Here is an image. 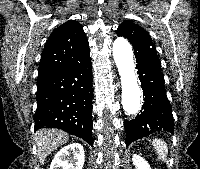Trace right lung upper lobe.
Segmentation results:
<instances>
[{
  "mask_svg": "<svg viewBox=\"0 0 200 169\" xmlns=\"http://www.w3.org/2000/svg\"><path fill=\"white\" fill-rule=\"evenodd\" d=\"M89 52L88 40L79 22L69 20L49 36L42 54L38 75L70 66Z\"/></svg>",
  "mask_w": 200,
  "mask_h": 169,
  "instance_id": "right-lung-upper-lobe-1",
  "label": "right lung upper lobe"
}]
</instances>
